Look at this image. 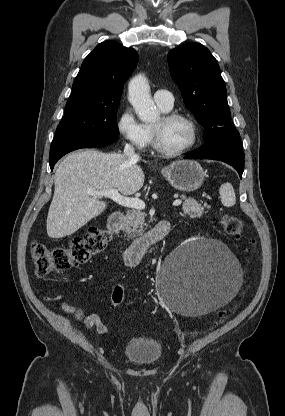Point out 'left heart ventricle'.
Here are the masks:
<instances>
[{
  "label": "left heart ventricle",
  "mask_w": 285,
  "mask_h": 416,
  "mask_svg": "<svg viewBox=\"0 0 285 416\" xmlns=\"http://www.w3.org/2000/svg\"><path fill=\"white\" fill-rule=\"evenodd\" d=\"M158 135L160 144L169 150H180L191 140L189 125L180 119L163 121L161 115L151 123Z\"/></svg>",
  "instance_id": "1"
}]
</instances>
